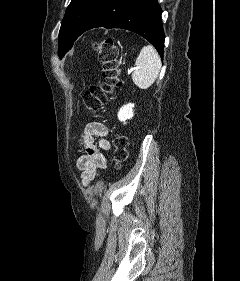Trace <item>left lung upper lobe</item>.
I'll return each mask as SVG.
<instances>
[{
	"label": "left lung upper lobe",
	"instance_id": "obj_1",
	"mask_svg": "<svg viewBox=\"0 0 240 281\" xmlns=\"http://www.w3.org/2000/svg\"><path fill=\"white\" fill-rule=\"evenodd\" d=\"M102 0H72L66 9L60 32L58 54L63 57L71 49L80 31Z\"/></svg>",
	"mask_w": 240,
	"mask_h": 281
}]
</instances>
